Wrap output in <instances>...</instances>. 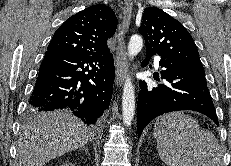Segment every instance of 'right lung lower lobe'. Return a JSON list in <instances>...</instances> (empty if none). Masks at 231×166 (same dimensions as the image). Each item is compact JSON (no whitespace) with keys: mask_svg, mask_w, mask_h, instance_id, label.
Returning <instances> with one entry per match:
<instances>
[{"mask_svg":"<svg viewBox=\"0 0 231 166\" xmlns=\"http://www.w3.org/2000/svg\"><path fill=\"white\" fill-rule=\"evenodd\" d=\"M114 75L110 50L84 56L46 52L29 109H67L87 125L95 124L109 107Z\"/></svg>","mask_w":231,"mask_h":166,"instance_id":"1","label":"right lung lower lobe"}]
</instances>
